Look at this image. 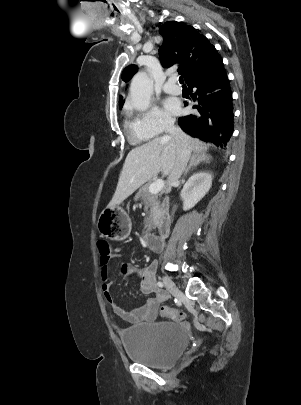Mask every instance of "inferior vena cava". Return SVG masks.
<instances>
[{
    "mask_svg": "<svg viewBox=\"0 0 301 405\" xmlns=\"http://www.w3.org/2000/svg\"><path fill=\"white\" fill-rule=\"evenodd\" d=\"M165 131L169 136L175 139L177 144L176 159L167 179L166 193H168L171 191L172 186L178 182L185 170L191 152L184 133L180 128L175 126L174 119H168L166 121Z\"/></svg>",
    "mask_w": 301,
    "mask_h": 405,
    "instance_id": "obj_1",
    "label": "inferior vena cava"
}]
</instances>
